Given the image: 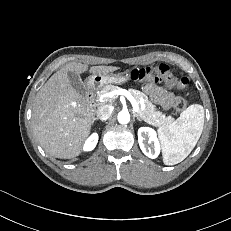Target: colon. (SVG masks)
Wrapping results in <instances>:
<instances>
[{"instance_id":"obj_1","label":"colon","mask_w":231,"mask_h":231,"mask_svg":"<svg viewBox=\"0 0 231 231\" xmlns=\"http://www.w3.org/2000/svg\"><path fill=\"white\" fill-rule=\"evenodd\" d=\"M130 78L133 81H138V82H158V81H163L166 84L175 87L179 90H183L186 88L188 85V78L182 77L178 78L176 77L170 67L166 64H159V65H153V66H148L144 68H136L133 69L130 72ZM187 107V101L182 98L178 97L175 100L173 110L176 113H181L184 111Z\"/></svg>"}]
</instances>
